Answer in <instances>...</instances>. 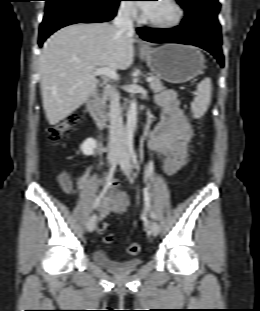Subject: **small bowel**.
I'll list each match as a JSON object with an SVG mask.
<instances>
[{"mask_svg":"<svg viewBox=\"0 0 260 311\" xmlns=\"http://www.w3.org/2000/svg\"><path fill=\"white\" fill-rule=\"evenodd\" d=\"M156 104L162 109L161 118L149 137V147L161 160L164 172L167 175L176 173L187 161L189 156V142L193 137L192 127L183 110L180 108L176 93L168 90L159 94ZM57 180L67 194L73 192L72 181L69 175L62 171ZM86 178L79 179L83 187ZM129 201L124 192L119 189V182L112 181L109 191L100 205L99 218L102 220L110 212L124 213Z\"/></svg>","mask_w":260,"mask_h":311,"instance_id":"c3829d8e","label":"small bowel"}]
</instances>
